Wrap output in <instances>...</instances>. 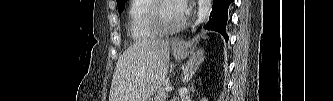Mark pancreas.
Instances as JSON below:
<instances>
[{
  "instance_id": "obj_1",
  "label": "pancreas",
  "mask_w": 333,
  "mask_h": 101,
  "mask_svg": "<svg viewBox=\"0 0 333 101\" xmlns=\"http://www.w3.org/2000/svg\"><path fill=\"white\" fill-rule=\"evenodd\" d=\"M167 98V91L164 87H161L158 89L156 95H155V101H165Z\"/></svg>"
}]
</instances>
